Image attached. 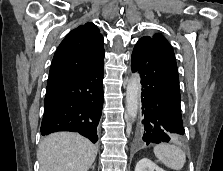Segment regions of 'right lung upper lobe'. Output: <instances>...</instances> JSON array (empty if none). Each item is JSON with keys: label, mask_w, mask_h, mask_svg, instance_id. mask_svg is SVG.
Returning <instances> with one entry per match:
<instances>
[{"label": "right lung upper lobe", "mask_w": 223, "mask_h": 171, "mask_svg": "<svg viewBox=\"0 0 223 171\" xmlns=\"http://www.w3.org/2000/svg\"><path fill=\"white\" fill-rule=\"evenodd\" d=\"M104 41L93 23L80 25L61 42L54 55L48 85L80 77L104 63Z\"/></svg>", "instance_id": "right-lung-upper-lobe-1"}]
</instances>
